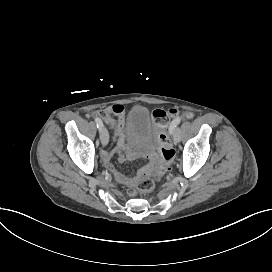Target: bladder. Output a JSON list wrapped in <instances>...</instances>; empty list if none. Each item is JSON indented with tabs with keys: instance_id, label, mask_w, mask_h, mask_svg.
Returning <instances> with one entry per match:
<instances>
[{
	"instance_id": "31cf9c89",
	"label": "bladder",
	"mask_w": 272,
	"mask_h": 272,
	"mask_svg": "<svg viewBox=\"0 0 272 272\" xmlns=\"http://www.w3.org/2000/svg\"><path fill=\"white\" fill-rule=\"evenodd\" d=\"M127 119L129 122V132L132 137H137L144 142L151 138L150 130L154 121L148 106H133L130 109Z\"/></svg>"
}]
</instances>
